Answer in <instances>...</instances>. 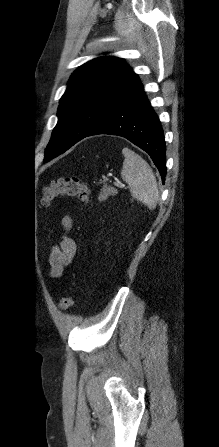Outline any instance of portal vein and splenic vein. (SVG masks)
<instances>
[{"instance_id": "1", "label": "portal vein and splenic vein", "mask_w": 219, "mask_h": 447, "mask_svg": "<svg viewBox=\"0 0 219 447\" xmlns=\"http://www.w3.org/2000/svg\"><path fill=\"white\" fill-rule=\"evenodd\" d=\"M113 184H114V186H116V187H118V188H122V186H123L122 183H120V182H116V181H114Z\"/></svg>"}]
</instances>
